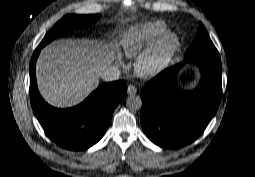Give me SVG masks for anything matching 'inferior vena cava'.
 Wrapping results in <instances>:
<instances>
[{
  "instance_id": "602c4592",
  "label": "inferior vena cava",
  "mask_w": 255,
  "mask_h": 177,
  "mask_svg": "<svg viewBox=\"0 0 255 177\" xmlns=\"http://www.w3.org/2000/svg\"><path fill=\"white\" fill-rule=\"evenodd\" d=\"M101 77L106 82L118 80L120 78V70L118 67L111 65L103 71Z\"/></svg>"
}]
</instances>
